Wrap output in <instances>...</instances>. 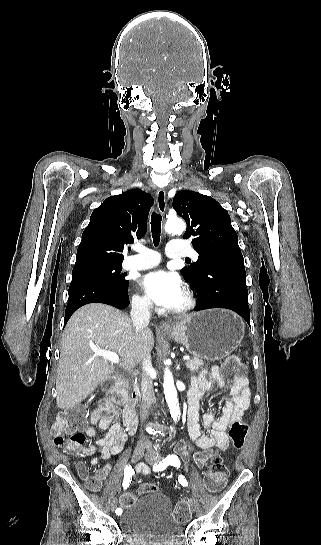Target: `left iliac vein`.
Wrapping results in <instances>:
<instances>
[{
    "label": "left iliac vein",
    "mask_w": 321,
    "mask_h": 545,
    "mask_svg": "<svg viewBox=\"0 0 321 545\" xmlns=\"http://www.w3.org/2000/svg\"><path fill=\"white\" fill-rule=\"evenodd\" d=\"M145 458L148 461V463L151 464V465L157 464L161 459L160 455L155 454V453L146 454ZM189 506H190L191 511L195 512L197 510V506H198L197 501L194 498H190Z\"/></svg>",
    "instance_id": "4c4485c4"
}]
</instances>
